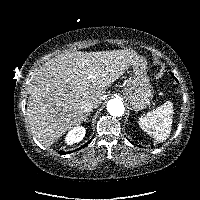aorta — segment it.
I'll use <instances>...</instances> for the list:
<instances>
[{
  "label": "aorta",
  "instance_id": "1",
  "mask_svg": "<svg viewBox=\"0 0 200 200\" xmlns=\"http://www.w3.org/2000/svg\"><path fill=\"white\" fill-rule=\"evenodd\" d=\"M107 110L112 116L120 117L124 114L125 107L121 100L114 98L108 101Z\"/></svg>",
  "mask_w": 200,
  "mask_h": 200
}]
</instances>
